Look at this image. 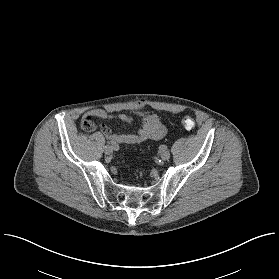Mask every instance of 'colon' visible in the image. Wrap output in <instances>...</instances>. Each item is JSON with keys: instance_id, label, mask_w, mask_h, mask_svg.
<instances>
[{"instance_id": "1", "label": "colon", "mask_w": 279, "mask_h": 279, "mask_svg": "<svg viewBox=\"0 0 279 279\" xmlns=\"http://www.w3.org/2000/svg\"><path fill=\"white\" fill-rule=\"evenodd\" d=\"M181 124L186 130H191L195 127V121L190 116H183ZM82 128L87 132L92 131V127L87 123L82 124Z\"/></svg>"}]
</instances>
